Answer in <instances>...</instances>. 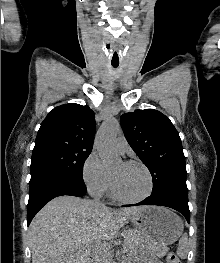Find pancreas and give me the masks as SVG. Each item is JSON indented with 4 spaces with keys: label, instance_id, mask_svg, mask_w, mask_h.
Segmentation results:
<instances>
[{
    "label": "pancreas",
    "instance_id": "pancreas-1",
    "mask_svg": "<svg viewBox=\"0 0 220 263\" xmlns=\"http://www.w3.org/2000/svg\"><path fill=\"white\" fill-rule=\"evenodd\" d=\"M139 235L140 233L137 230L128 229L124 232V246L128 249H134L140 247L139 245ZM154 252L158 254V256L162 257L168 251L166 247H154L152 248ZM109 256L108 250L104 253L101 259L96 260L94 263H107V257Z\"/></svg>",
    "mask_w": 220,
    "mask_h": 263
}]
</instances>
